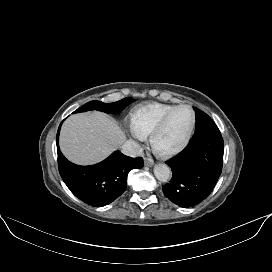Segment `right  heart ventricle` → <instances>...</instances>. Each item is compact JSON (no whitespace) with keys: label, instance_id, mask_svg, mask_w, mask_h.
Instances as JSON below:
<instances>
[{"label":"right heart ventricle","instance_id":"1","mask_svg":"<svg viewBox=\"0 0 272 272\" xmlns=\"http://www.w3.org/2000/svg\"><path fill=\"white\" fill-rule=\"evenodd\" d=\"M175 105L151 103L135 109L130 116V128L138 138L152 133L161 118Z\"/></svg>","mask_w":272,"mask_h":272}]
</instances>
